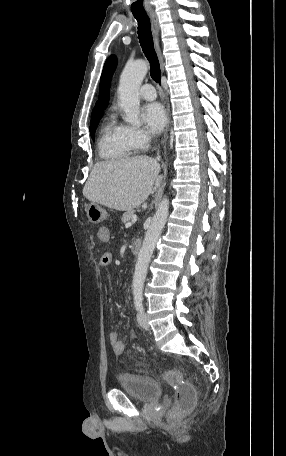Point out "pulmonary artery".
<instances>
[{"instance_id": "1", "label": "pulmonary artery", "mask_w": 286, "mask_h": 456, "mask_svg": "<svg viewBox=\"0 0 286 456\" xmlns=\"http://www.w3.org/2000/svg\"><path fill=\"white\" fill-rule=\"evenodd\" d=\"M140 97L144 100L151 101L156 98V91L153 85L144 84L139 91Z\"/></svg>"}]
</instances>
